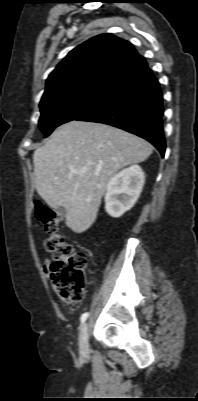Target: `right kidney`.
Masks as SVG:
<instances>
[{
  "mask_svg": "<svg viewBox=\"0 0 198 401\" xmlns=\"http://www.w3.org/2000/svg\"><path fill=\"white\" fill-rule=\"evenodd\" d=\"M145 182L141 167L132 165L115 174L107 184L105 210L113 218H119L138 200Z\"/></svg>",
  "mask_w": 198,
  "mask_h": 401,
  "instance_id": "right-kidney-1",
  "label": "right kidney"
}]
</instances>
